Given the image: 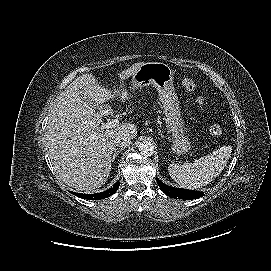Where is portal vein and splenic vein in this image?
Segmentation results:
<instances>
[{"label": "portal vein and splenic vein", "mask_w": 271, "mask_h": 271, "mask_svg": "<svg viewBox=\"0 0 271 271\" xmlns=\"http://www.w3.org/2000/svg\"><path fill=\"white\" fill-rule=\"evenodd\" d=\"M118 125H119V119L118 118H114L110 122L102 124L101 129L115 128Z\"/></svg>", "instance_id": "obj_1"}]
</instances>
